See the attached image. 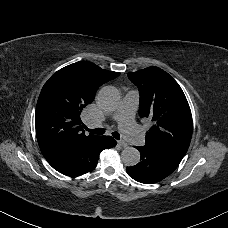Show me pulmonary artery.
Segmentation results:
<instances>
[{
	"label": "pulmonary artery",
	"mask_w": 228,
	"mask_h": 228,
	"mask_svg": "<svg viewBox=\"0 0 228 228\" xmlns=\"http://www.w3.org/2000/svg\"><path fill=\"white\" fill-rule=\"evenodd\" d=\"M128 102L125 105V108L123 110V115L121 118L120 123V132L122 134V137L124 139H131L132 137H135L138 134V127L136 125H133V120L138 108L139 104V95L137 93H130L127 98Z\"/></svg>",
	"instance_id": "1"
}]
</instances>
